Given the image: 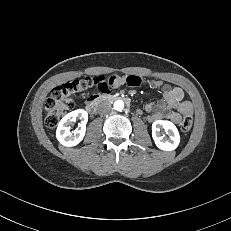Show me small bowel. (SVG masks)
<instances>
[{
    "instance_id": "obj_1",
    "label": "small bowel",
    "mask_w": 231,
    "mask_h": 231,
    "mask_svg": "<svg viewBox=\"0 0 231 231\" xmlns=\"http://www.w3.org/2000/svg\"><path fill=\"white\" fill-rule=\"evenodd\" d=\"M144 80L135 75L131 76H117L112 75L108 81H105L99 90L102 93H109L111 89L120 87L127 84L130 87H139L144 84ZM150 87L153 89H160L163 98L157 102L149 103L145 107V111L148 113V120L150 122L167 118L173 123L178 124L181 121L182 116L191 115L193 112V106L190 101L184 100V92L180 87H171L168 84H163L159 80H152ZM100 92L89 95L84 99V103L88 104L91 100L99 98Z\"/></svg>"
}]
</instances>
